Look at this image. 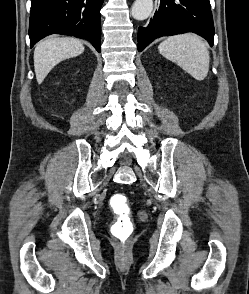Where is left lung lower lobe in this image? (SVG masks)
Listing matches in <instances>:
<instances>
[{"mask_svg": "<svg viewBox=\"0 0 249 294\" xmlns=\"http://www.w3.org/2000/svg\"><path fill=\"white\" fill-rule=\"evenodd\" d=\"M185 32H195L213 46L214 25L209 0H159V10L149 25L138 29V51L158 37Z\"/></svg>", "mask_w": 249, "mask_h": 294, "instance_id": "0a47b994", "label": "left lung lower lobe"}]
</instances>
